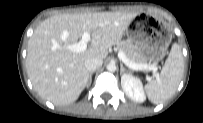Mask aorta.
I'll return each instance as SVG.
<instances>
[{
	"instance_id": "762f6f07",
	"label": "aorta",
	"mask_w": 203,
	"mask_h": 123,
	"mask_svg": "<svg viewBox=\"0 0 203 123\" xmlns=\"http://www.w3.org/2000/svg\"><path fill=\"white\" fill-rule=\"evenodd\" d=\"M107 70L108 71H115L116 70V65L114 63H110L107 65Z\"/></svg>"
}]
</instances>
